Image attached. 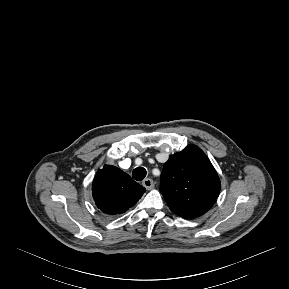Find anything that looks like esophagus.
Segmentation results:
<instances>
[{
	"label": "esophagus",
	"instance_id": "esophagus-1",
	"mask_svg": "<svg viewBox=\"0 0 289 289\" xmlns=\"http://www.w3.org/2000/svg\"><path fill=\"white\" fill-rule=\"evenodd\" d=\"M142 184L147 190H150V189H152L154 187V182L150 178L144 179Z\"/></svg>",
	"mask_w": 289,
	"mask_h": 289
}]
</instances>
